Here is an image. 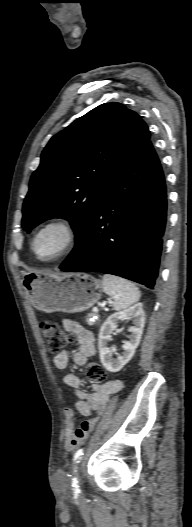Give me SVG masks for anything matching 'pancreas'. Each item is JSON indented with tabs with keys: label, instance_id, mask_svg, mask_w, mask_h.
Wrapping results in <instances>:
<instances>
[{
	"label": "pancreas",
	"instance_id": "pancreas-1",
	"mask_svg": "<svg viewBox=\"0 0 192 527\" xmlns=\"http://www.w3.org/2000/svg\"><path fill=\"white\" fill-rule=\"evenodd\" d=\"M97 316L96 312L89 313L86 318V322L88 325H94L99 322V319H96Z\"/></svg>",
	"mask_w": 192,
	"mask_h": 527
}]
</instances>
